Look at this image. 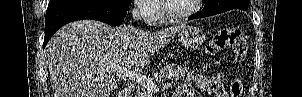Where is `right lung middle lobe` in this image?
Masks as SVG:
<instances>
[{"instance_id": "dd1d6c3e", "label": "right lung middle lobe", "mask_w": 302, "mask_h": 97, "mask_svg": "<svg viewBox=\"0 0 302 97\" xmlns=\"http://www.w3.org/2000/svg\"><path fill=\"white\" fill-rule=\"evenodd\" d=\"M69 1H75V0H50V5L51 4H57V3H64V2H69ZM110 3H113L119 7H122L126 10L129 9V6L131 4V0H104Z\"/></svg>"}]
</instances>
